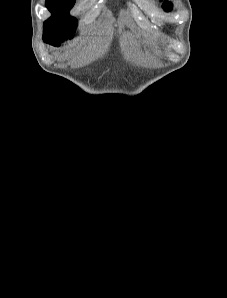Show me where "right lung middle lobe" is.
Returning <instances> with one entry per match:
<instances>
[{"label": "right lung middle lobe", "instance_id": "obj_1", "mask_svg": "<svg viewBox=\"0 0 227 298\" xmlns=\"http://www.w3.org/2000/svg\"><path fill=\"white\" fill-rule=\"evenodd\" d=\"M75 0H46V7L52 16L44 22L43 38L58 46L74 36L77 20L69 15Z\"/></svg>", "mask_w": 227, "mask_h": 298}]
</instances>
